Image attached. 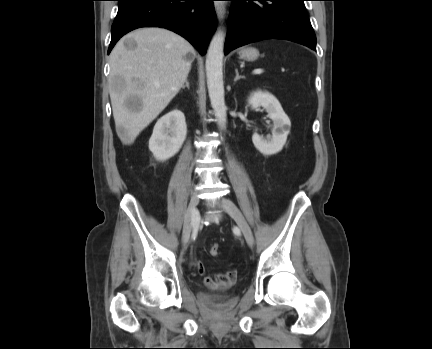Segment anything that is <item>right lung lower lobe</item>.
<instances>
[{
  "label": "right lung lower lobe",
  "instance_id": "98d812e1",
  "mask_svg": "<svg viewBox=\"0 0 432 349\" xmlns=\"http://www.w3.org/2000/svg\"><path fill=\"white\" fill-rule=\"evenodd\" d=\"M108 54L126 33L140 27H162L186 38L206 52L207 37L216 27L213 0H117Z\"/></svg>",
  "mask_w": 432,
  "mask_h": 349
}]
</instances>
